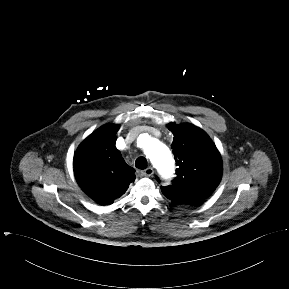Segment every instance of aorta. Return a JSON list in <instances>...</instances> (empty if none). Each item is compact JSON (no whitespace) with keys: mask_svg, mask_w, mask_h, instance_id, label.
Returning a JSON list of instances; mask_svg holds the SVG:
<instances>
[{"mask_svg":"<svg viewBox=\"0 0 289 289\" xmlns=\"http://www.w3.org/2000/svg\"><path fill=\"white\" fill-rule=\"evenodd\" d=\"M144 138L145 142L142 147L153 166L162 173L172 172L174 169V161L168 147L149 136H145Z\"/></svg>","mask_w":289,"mask_h":289,"instance_id":"762f6f07","label":"aorta"}]
</instances>
